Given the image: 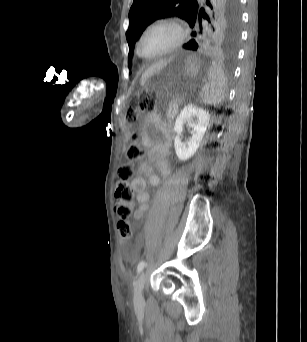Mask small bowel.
I'll return each mask as SVG.
<instances>
[{"label": "small bowel", "mask_w": 307, "mask_h": 342, "mask_svg": "<svg viewBox=\"0 0 307 342\" xmlns=\"http://www.w3.org/2000/svg\"><path fill=\"white\" fill-rule=\"evenodd\" d=\"M154 129L162 137L160 142H155L150 134V129ZM175 136L174 130L161 121L155 113H148L143 122L142 143L148 151L146 161L139 163L136 175L130 181V187L135 194L137 208L134 217L139 219L149 209V194L146 191V181L157 186L159 177L154 172L155 166L162 176L168 177L170 174L167 155L171 142Z\"/></svg>", "instance_id": "1"}]
</instances>
